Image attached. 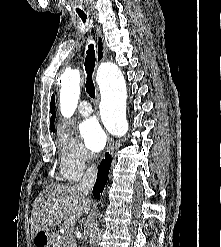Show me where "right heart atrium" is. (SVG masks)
I'll use <instances>...</instances> for the list:
<instances>
[{
	"label": "right heart atrium",
	"mask_w": 221,
	"mask_h": 247,
	"mask_svg": "<svg viewBox=\"0 0 221 247\" xmlns=\"http://www.w3.org/2000/svg\"><path fill=\"white\" fill-rule=\"evenodd\" d=\"M93 156L74 136L62 133L58 147V173L62 180L76 181L90 170Z\"/></svg>",
	"instance_id": "d8ad5b80"
}]
</instances>
